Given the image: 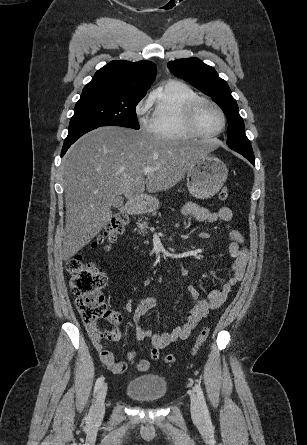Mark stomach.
<instances>
[{
    "instance_id": "obj_1",
    "label": "stomach",
    "mask_w": 307,
    "mask_h": 445,
    "mask_svg": "<svg viewBox=\"0 0 307 445\" xmlns=\"http://www.w3.org/2000/svg\"><path fill=\"white\" fill-rule=\"evenodd\" d=\"M228 176V168L223 160L214 154H202L187 170V188L195 198H211L217 194ZM149 208L155 210L159 206L158 198L147 202Z\"/></svg>"
}]
</instances>
